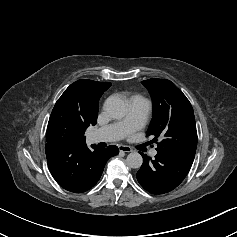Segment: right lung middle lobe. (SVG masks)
I'll return each mask as SVG.
<instances>
[{
  "instance_id": "obj_1",
  "label": "right lung middle lobe",
  "mask_w": 237,
  "mask_h": 237,
  "mask_svg": "<svg viewBox=\"0 0 237 237\" xmlns=\"http://www.w3.org/2000/svg\"><path fill=\"white\" fill-rule=\"evenodd\" d=\"M87 128L67 107L55 104L47 126V142L80 144Z\"/></svg>"
}]
</instances>
